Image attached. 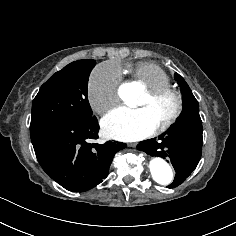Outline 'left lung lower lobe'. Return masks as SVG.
Listing matches in <instances>:
<instances>
[{
    "label": "left lung lower lobe",
    "instance_id": "obj_1",
    "mask_svg": "<svg viewBox=\"0 0 236 236\" xmlns=\"http://www.w3.org/2000/svg\"><path fill=\"white\" fill-rule=\"evenodd\" d=\"M202 124L175 123L170 129L156 138L145 140L137 148L151 156L167 158L175 169L174 181L167 186L174 188L196 168L202 153Z\"/></svg>",
    "mask_w": 236,
    "mask_h": 236
}]
</instances>
